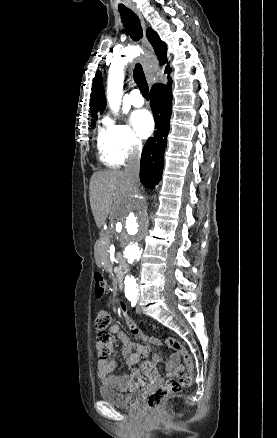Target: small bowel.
I'll list each match as a JSON object with an SVG mask.
<instances>
[{
  "mask_svg": "<svg viewBox=\"0 0 277 438\" xmlns=\"http://www.w3.org/2000/svg\"><path fill=\"white\" fill-rule=\"evenodd\" d=\"M129 324L126 331L129 334H137L140 331L139 326L131 323L130 319L126 317ZM109 332L118 336L123 344V356L126 360L127 367L130 373L122 376H113L112 372L116 369V360H100L97 364V377L100 382L106 386L118 389L119 391H128L136 384V379L139 376L136 365L137 363L150 354V347L146 345H139L131 341V339L120 330L118 324L110 325ZM147 335L144 332L138 334V339L146 340ZM156 360H161L160 356L153 357L151 361H146L141 364V371L148 375ZM164 370L167 378L179 375L184 371V366L180 363L178 355L172 354L164 360Z\"/></svg>",
  "mask_w": 277,
  "mask_h": 438,
  "instance_id": "obj_1",
  "label": "small bowel"
}]
</instances>
